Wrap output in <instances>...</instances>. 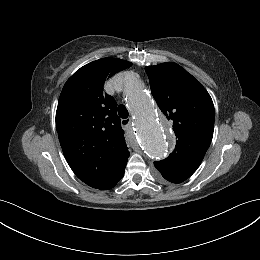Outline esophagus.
<instances>
[{
  "mask_svg": "<svg viewBox=\"0 0 260 260\" xmlns=\"http://www.w3.org/2000/svg\"><path fill=\"white\" fill-rule=\"evenodd\" d=\"M130 122H131V119L129 118V119H122L121 120V125L123 126V127H127L129 124H130Z\"/></svg>",
  "mask_w": 260,
  "mask_h": 260,
  "instance_id": "esophagus-1",
  "label": "esophagus"
}]
</instances>
